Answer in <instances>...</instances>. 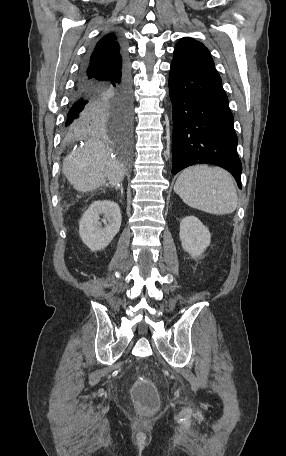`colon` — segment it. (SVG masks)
<instances>
[{"instance_id":"colon-1","label":"colon","mask_w":286,"mask_h":456,"mask_svg":"<svg viewBox=\"0 0 286 456\" xmlns=\"http://www.w3.org/2000/svg\"><path fill=\"white\" fill-rule=\"evenodd\" d=\"M133 398L141 410H153L158 405L156 388L147 381H138L133 387Z\"/></svg>"}]
</instances>
